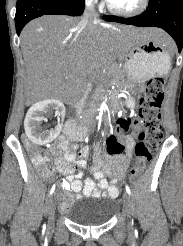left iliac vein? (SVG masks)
<instances>
[{
	"mask_svg": "<svg viewBox=\"0 0 183 246\" xmlns=\"http://www.w3.org/2000/svg\"><path fill=\"white\" fill-rule=\"evenodd\" d=\"M123 207L125 209V212L127 214L128 217V227H131V208H132V204H131V199L129 197V195L125 192L123 195Z\"/></svg>",
	"mask_w": 183,
	"mask_h": 246,
	"instance_id": "4c4485c4",
	"label": "left iliac vein"
}]
</instances>
